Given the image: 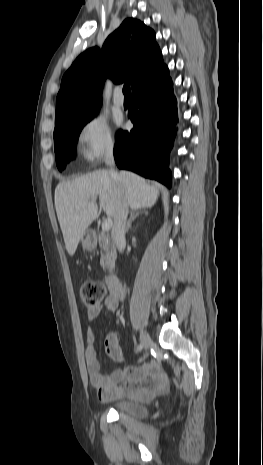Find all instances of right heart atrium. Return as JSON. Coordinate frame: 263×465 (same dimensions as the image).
<instances>
[{
    "instance_id": "1",
    "label": "right heart atrium",
    "mask_w": 263,
    "mask_h": 465,
    "mask_svg": "<svg viewBox=\"0 0 263 465\" xmlns=\"http://www.w3.org/2000/svg\"><path fill=\"white\" fill-rule=\"evenodd\" d=\"M77 143L81 157L90 164H95L112 154L115 139L105 117L95 114L80 127Z\"/></svg>"
}]
</instances>
